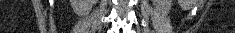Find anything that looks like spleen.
<instances>
[{
  "label": "spleen",
  "mask_w": 235,
  "mask_h": 33,
  "mask_svg": "<svg viewBox=\"0 0 235 33\" xmlns=\"http://www.w3.org/2000/svg\"><path fill=\"white\" fill-rule=\"evenodd\" d=\"M185 7H187V8L189 7V0H187Z\"/></svg>",
  "instance_id": "1"
}]
</instances>
